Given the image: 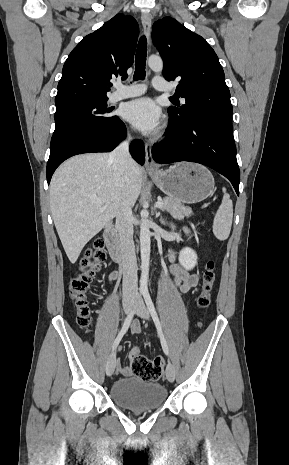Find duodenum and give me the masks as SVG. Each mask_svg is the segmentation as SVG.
<instances>
[{
  "label": "duodenum",
  "mask_w": 289,
  "mask_h": 465,
  "mask_svg": "<svg viewBox=\"0 0 289 465\" xmlns=\"http://www.w3.org/2000/svg\"><path fill=\"white\" fill-rule=\"evenodd\" d=\"M104 240L112 260L117 263H121L124 258L123 250L119 243L115 228L111 223L107 224L105 227Z\"/></svg>",
  "instance_id": "obj_1"
}]
</instances>
